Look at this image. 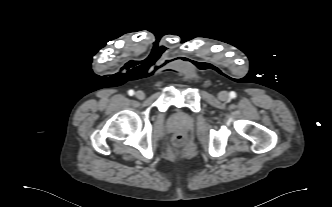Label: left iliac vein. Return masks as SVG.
<instances>
[{"mask_svg": "<svg viewBox=\"0 0 332 207\" xmlns=\"http://www.w3.org/2000/svg\"><path fill=\"white\" fill-rule=\"evenodd\" d=\"M218 98L222 101H225L229 98V94L228 92L226 91H221L219 94H218Z\"/></svg>", "mask_w": 332, "mask_h": 207, "instance_id": "obj_1", "label": "left iliac vein"}]
</instances>
